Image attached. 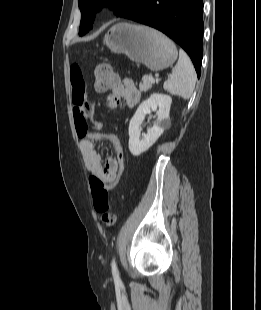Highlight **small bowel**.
Instances as JSON below:
<instances>
[{
    "mask_svg": "<svg viewBox=\"0 0 261 310\" xmlns=\"http://www.w3.org/2000/svg\"><path fill=\"white\" fill-rule=\"evenodd\" d=\"M71 86L74 121L77 134L82 138L80 148L85 159L88 170L106 183L113 184L119 173L117 159L108 157L105 163L95 146L97 140H107L114 144L119 140L116 136L102 131L101 123L91 118V107L86 97L85 82L79 65L71 67ZM141 98V93L130 78L119 80L111 88V93L106 97V103L110 108H116L121 100H124L128 108L135 107ZM95 130L88 133L89 125Z\"/></svg>",
    "mask_w": 261,
    "mask_h": 310,
    "instance_id": "obj_1",
    "label": "small bowel"
}]
</instances>
